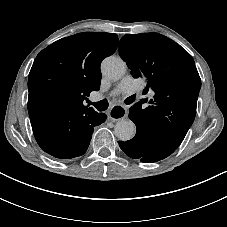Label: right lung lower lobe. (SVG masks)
<instances>
[{
	"instance_id": "1",
	"label": "right lung lower lobe",
	"mask_w": 227,
	"mask_h": 227,
	"mask_svg": "<svg viewBox=\"0 0 227 227\" xmlns=\"http://www.w3.org/2000/svg\"><path fill=\"white\" fill-rule=\"evenodd\" d=\"M48 104H42L31 125L35 139L46 153L58 159H70L83 155L95 126L106 120L103 113L77 110L56 112Z\"/></svg>"
}]
</instances>
